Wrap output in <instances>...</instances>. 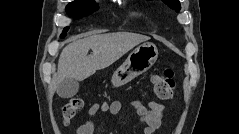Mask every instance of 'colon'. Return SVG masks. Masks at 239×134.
Wrapping results in <instances>:
<instances>
[{
  "instance_id": "colon-1",
  "label": "colon",
  "mask_w": 239,
  "mask_h": 134,
  "mask_svg": "<svg viewBox=\"0 0 239 134\" xmlns=\"http://www.w3.org/2000/svg\"><path fill=\"white\" fill-rule=\"evenodd\" d=\"M153 90L160 99H170L175 91V70L172 67L166 68L162 74H156L152 78ZM84 100L80 96H74L68 100L62 109V117L65 123L72 120L83 108Z\"/></svg>"
}]
</instances>
